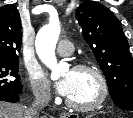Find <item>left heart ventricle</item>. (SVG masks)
<instances>
[{"mask_svg":"<svg viewBox=\"0 0 133 118\" xmlns=\"http://www.w3.org/2000/svg\"><path fill=\"white\" fill-rule=\"evenodd\" d=\"M71 74L73 87L67 98L79 105H87L95 101L99 95V85L95 75L90 71L74 70L71 71Z\"/></svg>","mask_w":133,"mask_h":118,"instance_id":"1","label":"left heart ventricle"}]
</instances>
